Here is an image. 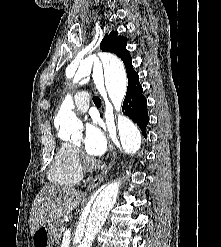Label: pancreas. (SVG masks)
<instances>
[{
	"instance_id": "obj_1",
	"label": "pancreas",
	"mask_w": 221,
	"mask_h": 247,
	"mask_svg": "<svg viewBox=\"0 0 221 247\" xmlns=\"http://www.w3.org/2000/svg\"><path fill=\"white\" fill-rule=\"evenodd\" d=\"M62 233H63V226L61 224H59L58 222H55L52 225V234H53L54 240L57 244H59L61 242Z\"/></svg>"
}]
</instances>
